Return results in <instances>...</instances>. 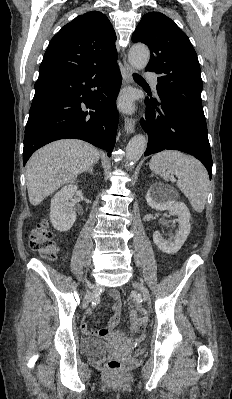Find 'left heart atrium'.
I'll use <instances>...</instances> for the list:
<instances>
[{
	"mask_svg": "<svg viewBox=\"0 0 232 399\" xmlns=\"http://www.w3.org/2000/svg\"><path fill=\"white\" fill-rule=\"evenodd\" d=\"M122 107L125 110H131V108H132V99H131V97L129 95H125L122 98Z\"/></svg>",
	"mask_w": 232,
	"mask_h": 399,
	"instance_id": "1",
	"label": "left heart atrium"
}]
</instances>
